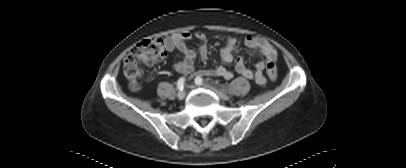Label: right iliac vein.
Instances as JSON below:
<instances>
[{"label":"right iliac vein","instance_id":"1","mask_svg":"<svg viewBox=\"0 0 406 168\" xmlns=\"http://www.w3.org/2000/svg\"><path fill=\"white\" fill-rule=\"evenodd\" d=\"M185 95H186V93H185V91H180V92H178V94H177V98L178 99H184L185 98Z\"/></svg>","mask_w":406,"mask_h":168}]
</instances>
